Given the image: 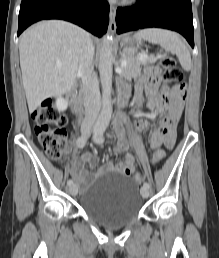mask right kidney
I'll list each match as a JSON object with an SVG mask.
<instances>
[{
  "mask_svg": "<svg viewBox=\"0 0 219 258\" xmlns=\"http://www.w3.org/2000/svg\"><path fill=\"white\" fill-rule=\"evenodd\" d=\"M68 102L63 97H58L56 99V107L59 111H65L67 109Z\"/></svg>",
  "mask_w": 219,
  "mask_h": 258,
  "instance_id": "ca27d5eb",
  "label": "right kidney"
}]
</instances>
